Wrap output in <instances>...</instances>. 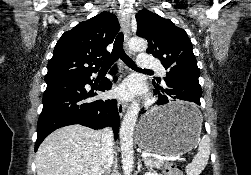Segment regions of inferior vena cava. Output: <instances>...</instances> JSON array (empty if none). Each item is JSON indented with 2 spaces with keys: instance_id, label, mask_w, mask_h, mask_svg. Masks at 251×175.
I'll list each match as a JSON object with an SVG mask.
<instances>
[{
  "instance_id": "inferior-vena-cava-1",
  "label": "inferior vena cava",
  "mask_w": 251,
  "mask_h": 175,
  "mask_svg": "<svg viewBox=\"0 0 251 175\" xmlns=\"http://www.w3.org/2000/svg\"><path fill=\"white\" fill-rule=\"evenodd\" d=\"M101 169H110L113 163V131L110 127L101 129ZM101 175V173H100Z\"/></svg>"
}]
</instances>
